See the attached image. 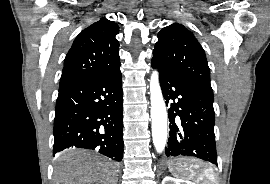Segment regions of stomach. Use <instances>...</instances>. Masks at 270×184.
<instances>
[{"label": "stomach", "mask_w": 270, "mask_h": 184, "mask_svg": "<svg viewBox=\"0 0 270 184\" xmlns=\"http://www.w3.org/2000/svg\"><path fill=\"white\" fill-rule=\"evenodd\" d=\"M186 161L183 159L175 160L170 163L169 170L176 176H182L184 171L186 170Z\"/></svg>", "instance_id": "stomach-1"}]
</instances>
